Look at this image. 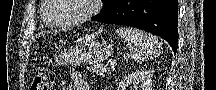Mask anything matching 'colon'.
Returning a JSON list of instances; mask_svg holds the SVG:
<instances>
[{"label": "colon", "mask_w": 216, "mask_h": 90, "mask_svg": "<svg viewBox=\"0 0 216 90\" xmlns=\"http://www.w3.org/2000/svg\"><path fill=\"white\" fill-rule=\"evenodd\" d=\"M48 89V81H47V73L44 69L39 70L33 77L31 83V90H47Z\"/></svg>", "instance_id": "1"}]
</instances>
